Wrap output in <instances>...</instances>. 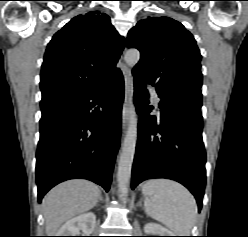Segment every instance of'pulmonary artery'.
I'll use <instances>...</instances> for the list:
<instances>
[{"instance_id": "e3ab8cb5", "label": "pulmonary artery", "mask_w": 248, "mask_h": 237, "mask_svg": "<svg viewBox=\"0 0 248 237\" xmlns=\"http://www.w3.org/2000/svg\"><path fill=\"white\" fill-rule=\"evenodd\" d=\"M153 96H154V98H156V93H155V91L153 90ZM155 103H156V105L158 104V101H155Z\"/></svg>"}]
</instances>
